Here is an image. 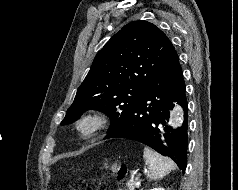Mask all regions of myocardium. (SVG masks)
<instances>
[{
    "mask_svg": "<svg viewBox=\"0 0 238 190\" xmlns=\"http://www.w3.org/2000/svg\"><path fill=\"white\" fill-rule=\"evenodd\" d=\"M107 124V114L101 110H93L82 114L75 126L81 136L90 137L104 129Z\"/></svg>",
    "mask_w": 238,
    "mask_h": 190,
    "instance_id": "1",
    "label": "myocardium"
}]
</instances>
